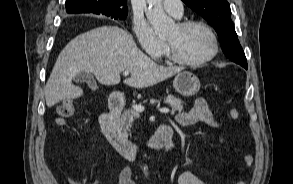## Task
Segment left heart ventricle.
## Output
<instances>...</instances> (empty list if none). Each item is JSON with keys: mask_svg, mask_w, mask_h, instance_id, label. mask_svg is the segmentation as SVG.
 Here are the masks:
<instances>
[{"mask_svg": "<svg viewBox=\"0 0 293 184\" xmlns=\"http://www.w3.org/2000/svg\"><path fill=\"white\" fill-rule=\"evenodd\" d=\"M177 54L187 60L203 58L212 49L209 33L202 27L195 26L187 30H180L176 26L167 37Z\"/></svg>", "mask_w": 293, "mask_h": 184, "instance_id": "left-heart-ventricle-1", "label": "left heart ventricle"}]
</instances>
